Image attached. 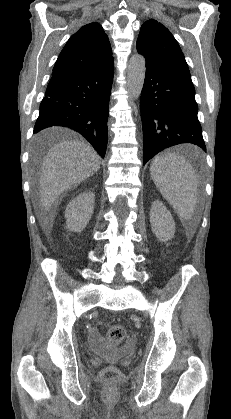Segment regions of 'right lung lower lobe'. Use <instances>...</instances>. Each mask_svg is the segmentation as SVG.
Wrapping results in <instances>:
<instances>
[{"instance_id": "1", "label": "right lung lower lobe", "mask_w": 231, "mask_h": 419, "mask_svg": "<svg viewBox=\"0 0 231 419\" xmlns=\"http://www.w3.org/2000/svg\"><path fill=\"white\" fill-rule=\"evenodd\" d=\"M113 73L114 62L94 71L53 74L34 133L51 126L69 127L104 157Z\"/></svg>"}]
</instances>
